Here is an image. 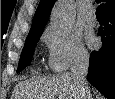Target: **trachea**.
Segmentation results:
<instances>
[{
	"mask_svg": "<svg viewBox=\"0 0 115 99\" xmlns=\"http://www.w3.org/2000/svg\"><path fill=\"white\" fill-rule=\"evenodd\" d=\"M96 16H103V4H100L96 9Z\"/></svg>",
	"mask_w": 115,
	"mask_h": 99,
	"instance_id": "trachea-1",
	"label": "trachea"
}]
</instances>
